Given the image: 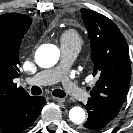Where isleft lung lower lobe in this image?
I'll return each instance as SVG.
<instances>
[{
  "label": "left lung lower lobe",
  "mask_w": 133,
  "mask_h": 133,
  "mask_svg": "<svg viewBox=\"0 0 133 133\" xmlns=\"http://www.w3.org/2000/svg\"><path fill=\"white\" fill-rule=\"evenodd\" d=\"M84 107L87 109L88 119L80 127L83 133H98L106 128L119 112V109L109 108L93 100H88Z\"/></svg>",
  "instance_id": "1"
}]
</instances>
